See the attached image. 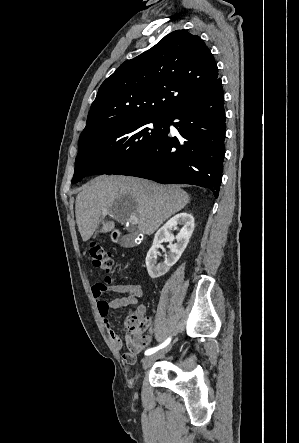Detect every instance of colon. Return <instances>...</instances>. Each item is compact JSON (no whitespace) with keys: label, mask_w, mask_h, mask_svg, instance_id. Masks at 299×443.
Returning a JSON list of instances; mask_svg holds the SVG:
<instances>
[{"label":"colon","mask_w":299,"mask_h":443,"mask_svg":"<svg viewBox=\"0 0 299 443\" xmlns=\"http://www.w3.org/2000/svg\"><path fill=\"white\" fill-rule=\"evenodd\" d=\"M89 255L94 266L110 273L113 267V260L110 254L98 243L91 242L88 246ZM111 279L108 277L107 282ZM126 325L130 331L131 338L142 337L143 333L149 326V320L143 315V312L136 310L127 319Z\"/></svg>","instance_id":"1"}]
</instances>
